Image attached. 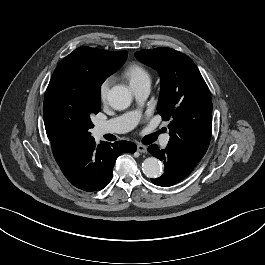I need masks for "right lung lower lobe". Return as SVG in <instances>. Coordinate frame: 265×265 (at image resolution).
Here are the masks:
<instances>
[{"instance_id":"98d812e1","label":"right lung lower lobe","mask_w":265,"mask_h":265,"mask_svg":"<svg viewBox=\"0 0 265 265\" xmlns=\"http://www.w3.org/2000/svg\"><path fill=\"white\" fill-rule=\"evenodd\" d=\"M133 142L117 141L96 145L93 137L58 164L69 182L83 191H99L112 179L116 159L124 152L134 153Z\"/></svg>"}]
</instances>
